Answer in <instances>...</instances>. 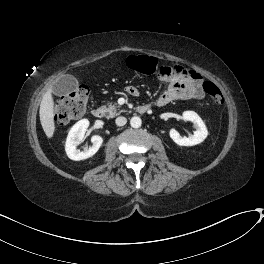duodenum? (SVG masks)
Returning a JSON list of instances; mask_svg holds the SVG:
<instances>
[{"mask_svg":"<svg viewBox=\"0 0 264 264\" xmlns=\"http://www.w3.org/2000/svg\"><path fill=\"white\" fill-rule=\"evenodd\" d=\"M138 94H139V92H138V90H135L134 92H133V95L134 96H138ZM149 110V106H147V105H141L139 108H138V112L139 113H145L146 111H148ZM104 114H105V110H104V108L103 107H101V106H96V107H94L93 109H92V115H93V117L94 118H96V119H102L103 117H104Z\"/></svg>","mask_w":264,"mask_h":264,"instance_id":"1","label":"duodenum"}]
</instances>
